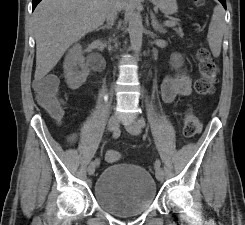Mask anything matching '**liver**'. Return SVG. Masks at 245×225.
Listing matches in <instances>:
<instances>
[{"mask_svg": "<svg viewBox=\"0 0 245 225\" xmlns=\"http://www.w3.org/2000/svg\"><path fill=\"white\" fill-rule=\"evenodd\" d=\"M119 10L126 5L116 0ZM110 0H42L33 13L35 80H41L75 42L103 24Z\"/></svg>", "mask_w": 245, "mask_h": 225, "instance_id": "1", "label": "liver"}]
</instances>
